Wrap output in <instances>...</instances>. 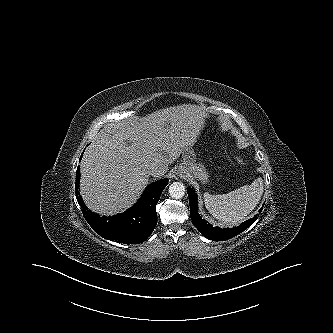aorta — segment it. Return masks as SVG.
<instances>
[{
    "label": "aorta",
    "instance_id": "obj_1",
    "mask_svg": "<svg viewBox=\"0 0 333 333\" xmlns=\"http://www.w3.org/2000/svg\"><path fill=\"white\" fill-rule=\"evenodd\" d=\"M185 186L180 182H173L169 186V194L174 199H180L185 195Z\"/></svg>",
    "mask_w": 333,
    "mask_h": 333
}]
</instances>
